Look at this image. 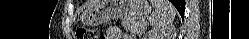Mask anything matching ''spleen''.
Here are the masks:
<instances>
[{
    "label": "spleen",
    "instance_id": "spleen-1",
    "mask_svg": "<svg viewBox=\"0 0 249 39\" xmlns=\"http://www.w3.org/2000/svg\"><path fill=\"white\" fill-rule=\"evenodd\" d=\"M154 13L150 17V23L155 30L162 31L171 24L176 15L175 7L168 0H151Z\"/></svg>",
    "mask_w": 249,
    "mask_h": 39
}]
</instances>
